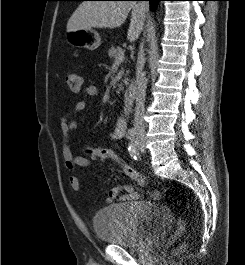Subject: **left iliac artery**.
<instances>
[{
	"instance_id": "44dca946",
	"label": "left iliac artery",
	"mask_w": 245,
	"mask_h": 265,
	"mask_svg": "<svg viewBox=\"0 0 245 265\" xmlns=\"http://www.w3.org/2000/svg\"><path fill=\"white\" fill-rule=\"evenodd\" d=\"M128 151L135 160L137 159L139 153L138 150L136 149V142L134 140H131V142L128 145Z\"/></svg>"
}]
</instances>
